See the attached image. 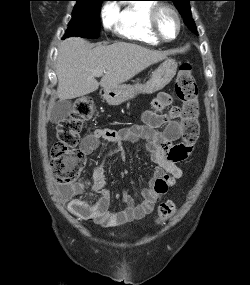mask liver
Returning <instances> with one entry per match:
<instances>
[{
  "label": "liver",
  "mask_w": 250,
  "mask_h": 285,
  "mask_svg": "<svg viewBox=\"0 0 250 285\" xmlns=\"http://www.w3.org/2000/svg\"><path fill=\"white\" fill-rule=\"evenodd\" d=\"M166 56L165 52L132 43L93 47L82 38H68L58 48L57 96L62 101L90 94L99 85L104 89L116 88ZM99 71H105L100 83L95 78Z\"/></svg>",
  "instance_id": "6515ba94"
}]
</instances>
